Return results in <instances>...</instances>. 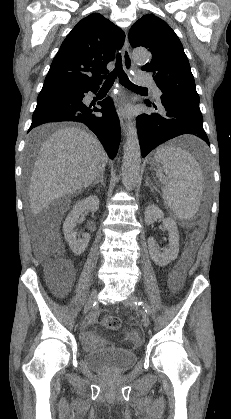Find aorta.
<instances>
[{
    "instance_id": "obj_1",
    "label": "aorta",
    "mask_w": 231,
    "mask_h": 419,
    "mask_svg": "<svg viewBox=\"0 0 231 419\" xmlns=\"http://www.w3.org/2000/svg\"><path fill=\"white\" fill-rule=\"evenodd\" d=\"M132 57L137 63H147L150 54L146 49H135ZM141 165V149L138 139L136 122L129 121L127 139L124 144L122 163V181L127 189H133L139 180Z\"/></svg>"
}]
</instances>
